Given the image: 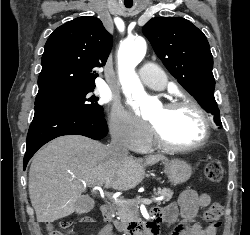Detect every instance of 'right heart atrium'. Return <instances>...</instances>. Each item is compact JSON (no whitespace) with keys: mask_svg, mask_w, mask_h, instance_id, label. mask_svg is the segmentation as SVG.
<instances>
[{"mask_svg":"<svg viewBox=\"0 0 250 235\" xmlns=\"http://www.w3.org/2000/svg\"><path fill=\"white\" fill-rule=\"evenodd\" d=\"M108 128L117 143L132 151L143 150L151 139L148 128L118 105L113 106L110 112Z\"/></svg>","mask_w":250,"mask_h":235,"instance_id":"1","label":"right heart atrium"}]
</instances>
